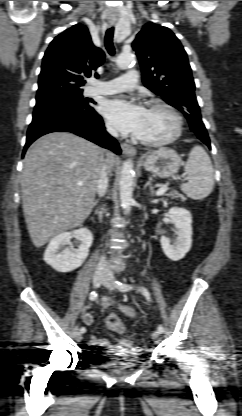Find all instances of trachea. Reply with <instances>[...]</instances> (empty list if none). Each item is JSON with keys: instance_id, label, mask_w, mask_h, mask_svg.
Wrapping results in <instances>:
<instances>
[{"instance_id": "3493384b", "label": "trachea", "mask_w": 242, "mask_h": 416, "mask_svg": "<svg viewBox=\"0 0 242 416\" xmlns=\"http://www.w3.org/2000/svg\"><path fill=\"white\" fill-rule=\"evenodd\" d=\"M113 35H114V28L111 27L106 31V34H105V47L111 56L115 54V48L113 45Z\"/></svg>"}]
</instances>
